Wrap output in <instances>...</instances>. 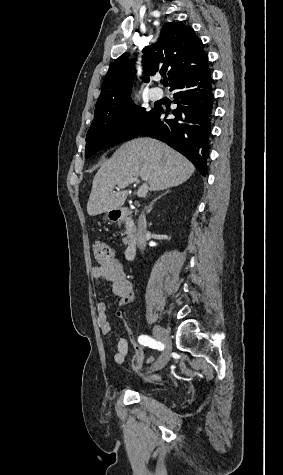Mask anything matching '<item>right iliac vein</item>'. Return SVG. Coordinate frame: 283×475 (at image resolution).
Instances as JSON below:
<instances>
[{"instance_id": "63e3f726", "label": "right iliac vein", "mask_w": 283, "mask_h": 475, "mask_svg": "<svg viewBox=\"0 0 283 475\" xmlns=\"http://www.w3.org/2000/svg\"><path fill=\"white\" fill-rule=\"evenodd\" d=\"M153 334L164 345V351L162 355L159 357L158 361L152 367L153 370H159L165 367L167 363L169 362L172 346H171L169 334L165 328L159 325H155L153 328Z\"/></svg>"}]
</instances>
